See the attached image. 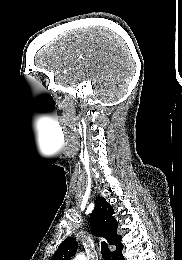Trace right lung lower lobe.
<instances>
[{
  "instance_id": "obj_1",
  "label": "right lung lower lobe",
  "mask_w": 182,
  "mask_h": 260,
  "mask_svg": "<svg viewBox=\"0 0 182 260\" xmlns=\"http://www.w3.org/2000/svg\"><path fill=\"white\" fill-rule=\"evenodd\" d=\"M113 260H124V257L122 255V250L114 255H112Z\"/></svg>"
}]
</instances>
